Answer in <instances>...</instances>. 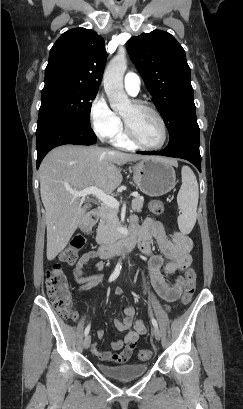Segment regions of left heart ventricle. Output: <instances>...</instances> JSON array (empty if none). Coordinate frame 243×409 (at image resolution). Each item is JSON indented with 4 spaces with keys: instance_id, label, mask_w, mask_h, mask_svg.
I'll use <instances>...</instances> for the list:
<instances>
[{
    "instance_id": "b2bd125f",
    "label": "left heart ventricle",
    "mask_w": 243,
    "mask_h": 409,
    "mask_svg": "<svg viewBox=\"0 0 243 409\" xmlns=\"http://www.w3.org/2000/svg\"><path fill=\"white\" fill-rule=\"evenodd\" d=\"M120 114L130 124L133 132L144 143L156 145L162 140V129L156 117L147 109L137 108L129 102Z\"/></svg>"
}]
</instances>
